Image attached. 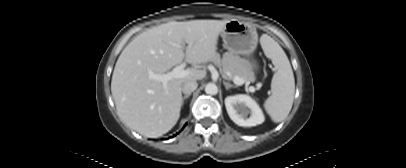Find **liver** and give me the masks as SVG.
Returning a JSON list of instances; mask_svg holds the SVG:
<instances>
[{
	"label": "liver",
	"mask_w": 406,
	"mask_h": 168,
	"mask_svg": "<svg viewBox=\"0 0 406 168\" xmlns=\"http://www.w3.org/2000/svg\"><path fill=\"white\" fill-rule=\"evenodd\" d=\"M227 22L173 21L134 38L120 54L112 75L111 93L119 118L147 137H160L170 131L180 117L183 83L202 80L206 71L188 69L189 75L168 81L166 87L150 74H165L184 58L192 64L212 61ZM183 43L187 44L185 52Z\"/></svg>",
	"instance_id": "6515ba94"
}]
</instances>
